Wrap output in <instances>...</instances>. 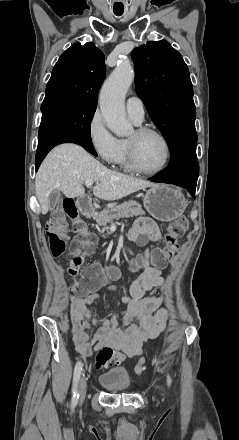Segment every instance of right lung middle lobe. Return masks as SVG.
<instances>
[{"mask_svg":"<svg viewBox=\"0 0 239 440\" xmlns=\"http://www.w3.org/2000/svg\"><path fill=\"white\" fill-rule=\"evenodd\" d=\"M95 110L96 108L70 101H52L42 104L39 140L49 134L68 131L90 136V123Z\"/></svg>","mask_w":239,"mask_h":440,"instance_id":"obj_1","label":"right lung middle lobe"}]
</instances>
